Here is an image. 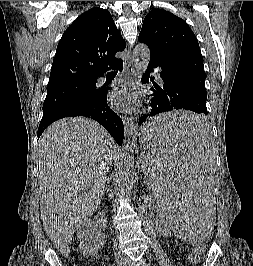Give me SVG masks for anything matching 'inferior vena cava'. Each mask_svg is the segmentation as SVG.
<instances>
[{"label": "inferior vena cava", "instance_id": "obj_1", "mask_svg": "<svg viewBox=\"0 0 253 266\" xmlns=\"http://www.w3.org/2000/svg\"><path fill=\"white\" fill-rule=\"evenodd\" d=\"M115 256H116V260L117 261H124V260H126V256L121 251H118L117 248H116Z\"/></svg>", "mask_w": 253, "mask_h": 266}]
</instances>
